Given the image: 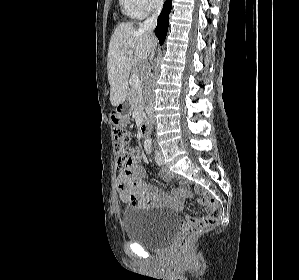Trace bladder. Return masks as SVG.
Returning a JSON list of instances; mask_svg holds the SVG:
<instances>
[{
	"instance_id": "31cf9c89",
	"label": "bladder",
	"mask_w": 299,
	"mask_h": 280,
	"mask_svg": "<svg viewBox=\"0 0 299 280\" xmlns=\"http://www.w3.org/2000/svg\"><path fill=\"white\" fill-rule=\"evenodd\" d=\"M178 223L177 215L162 207L142 208L123 216L125 236L151 249L165 247Z\"/></svg>"
}]
</instances>
